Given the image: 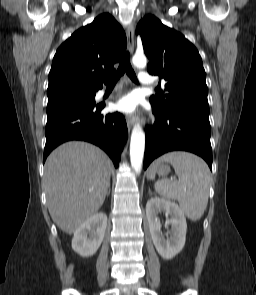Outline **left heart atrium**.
<instances>
[{
    "instance_id": "39dd6f15",
    "label": "left heart atrium",
    "mask_w": 256,
    "mask_h": 295,
    "mask_svg": "<svg viewBox=\"0 0 256 295\" xmlns=\"http://www.w3.org/2000/svg\"><path fill=\"white\" fill-rule=\"evenodd\" d=\"M138 105V100L135 94L130 93L123 96L116 103V108L124 113H131L135 111Z\"/></svg>"
}]
</instances>
